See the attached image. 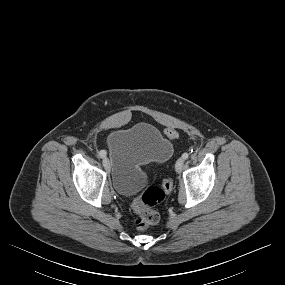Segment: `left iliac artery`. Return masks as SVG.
Listing matches in <instances>:
<instances>
[{
    "instance_id": "left-iliac-artery-1",
    "label": "left iliac artery",
    "mask_w": 285,
    "mask_h": 285,
    "mask_svg": "<svg viewBox=\"0 0 285 285\" xmlns=\"http://www.w3.org/2000/svg\"><path fill=\"white\" fill-rule=\"evenodd\" d=\"M188 156H189V154H188L187 152H185V153L182 154V158H183L184 160H186V159L188 158Z\"/></svg>"
}]
</instances>
